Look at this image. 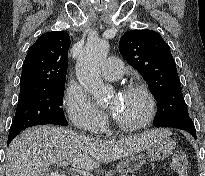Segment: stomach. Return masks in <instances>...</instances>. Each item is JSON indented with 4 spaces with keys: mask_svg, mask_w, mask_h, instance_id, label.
<instances>
[{
    "mask_svg": "<svg viewBox=\"0 0 205 176\" xmlns=\"http://www.w3.org/2000/svg\"><path fill=\"white\" fill-rule=\"evenodd\" d=\"M175 147V142L168 136L158 139L147 149L144 154L132 155L118 164L120 173H131L140 169L147 161L163 160L168 157Z\"/></svg>",
    "mask_w": 205,
    "mask_h": 176,
    "instance_id": "1",
    "label": "stomach"
}]
</instances>
